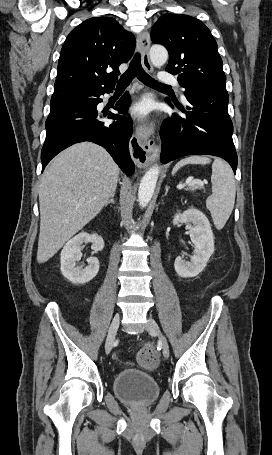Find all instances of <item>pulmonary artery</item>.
Listing matches in <instances>:
<instances>
[{
  "label": "pulmonary artery",
  "instance_id": "e3ab8cb5",
  "mask_svg": "<svg viewBox=\"0 0 272 455\" xmlns=\"http://www.w3.org/2000/svg\"><path fill=\"white\" fill-rule=\"evenodd\" d=\"M159 82L163 84H172L178 86L177 79L172 74H169L167 72L160 73Z\"/></svg>",
  "mask_w": 272,
  "mask_h": 455
}]
</instances>
